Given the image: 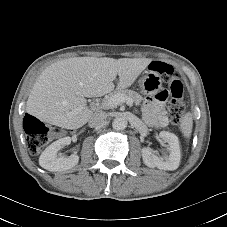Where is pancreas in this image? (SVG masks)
<instances>
[{"instance_id": "obj_1", "label": "pancreas", "mask_w": 227, "mask_h": 227, "mask_svg": "<svg viewBox=\"0 0 227 227\" xmlns=\"http://www.w3.org/2000/svg\"><path fill=\"white\" fill-rule=\"evenodd\" d=\"M124 95L125 97L127 98H131L133 100V102L136 104V105H139L141 103V101L143 100L142 96L140 94H138L137 92L135 91H132V90H118V91H114L113 93H111L108 98L105 100V102L110 99L112 96L114 95ZM104 108H110L106 105H103Z\"/></svg>"}]
</instances>
